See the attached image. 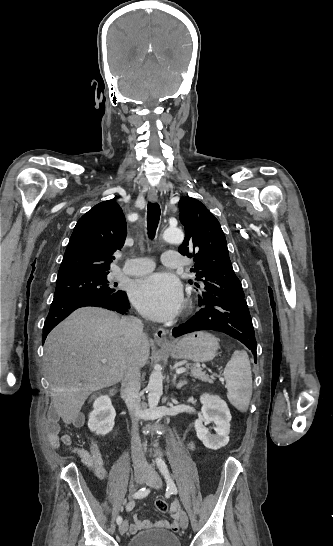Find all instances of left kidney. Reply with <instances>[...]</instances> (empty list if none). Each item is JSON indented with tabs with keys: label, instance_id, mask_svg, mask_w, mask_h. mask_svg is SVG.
Listing matches in <instances>:
<instances>
[{
	"label": "left kidney",
	"instance_id": "obj_1",
	"mask_svg": "<svg viewBox=\"0 0 333 546\" xmlns=\"http://www.w3.org/2000/svg\"><path fill=\"white\" fill-rule=\"evenodd\" d=\"M201 414L195 421L197 437L205 447L218 450L229 442L231 414L227 403L219 396L204 394L200 397ZM214 423L216 434H211L205 424Z\"/></svg>",
	"mask_w": 333,
	"mask_h": 546
}]
</instances>
